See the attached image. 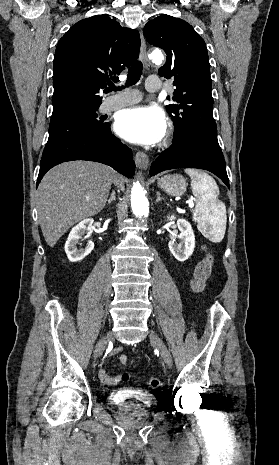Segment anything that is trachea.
<instances>
[{
    "mask_svg": "<svg viewBox=\"0 0 279 465\" xmlns=\"http://www.w3.org/2000/svg\"><path fill=\"white\" fill-rule=\"evenodd\" d=\"M142 70H143L142 63L139 61L135 62L128 71L126 86H131V85L136 84L140 80V77L142 75ZM117 89L120 90L121 88L120 87L116 88V86L113 83H111L109 84V87L106 88V92H111Z\"/></svg>",
    "mask_w": 279,
    "mask_h": 465,
    "instance_id": "1",
    "label": "trachea"
}]
</instances>
